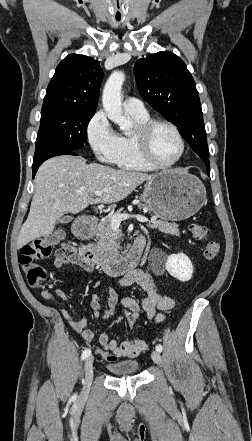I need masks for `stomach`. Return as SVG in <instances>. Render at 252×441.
Masks as SVG:
<instances>
[{
    "label": "stomach",
    "mask_w": 252,
    "mask_h": 441,
    "mask_svg": "<svg viewBox=\"0 0 252 441\" xmlns=\"http://www.w3.org/2000/svg\"><path fill=\"white\" fill-rule=\"evenodd\" d=\"M141 199L162 220L180 221L200 210L206 199V189L196 176L172 169L148 180Z\"/></svg>",
    "instance_id": "stomach-1"
}]
</instances>
